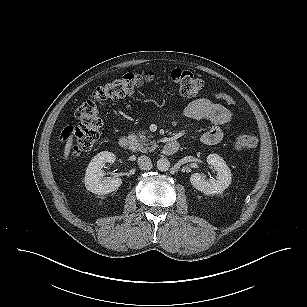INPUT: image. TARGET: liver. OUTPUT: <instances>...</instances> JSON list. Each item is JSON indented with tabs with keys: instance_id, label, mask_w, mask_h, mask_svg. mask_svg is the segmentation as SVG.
<instances>
[{
	"instance_id": "obj_1",
	"label": "liver",
	"mask_w": 307,
	"mask_h": 307,
	"mask_svg": "<svg viewBox=\"0 0 307 307\" xmlns=\"http://www.w3.org/2000/svg\"><path fill=\"white\" fill-rule=\"evenodd\" d=\"M72 141H73V138L72 136H70L66 142V145H65V148H64V157L65 159L68 158L69 154H70V150H71V147H72Z\"/></svg>"
}]
</instances>
